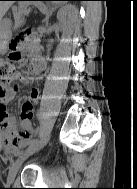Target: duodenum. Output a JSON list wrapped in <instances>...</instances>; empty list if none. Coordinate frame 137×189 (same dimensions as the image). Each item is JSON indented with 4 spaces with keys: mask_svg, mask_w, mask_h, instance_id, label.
Wrapping results in <instances>:
<instances>
[{
    "mask_svg": "<svg viewBox=\"0 0 137 189\" xmlns=\"http://www.w3.org/2000/svg\"><path fill=\"white\" fill-rule=\"evenodd\" d=\"M31 54H32V56L34 57V59H35L36 61H38V60L41 59L40 52H39V49H38V48H33V49L31 50Z\"/></svg>",
    "mask_w": 137,
    "mask_h": 189,
    "instance_id": "410a0bca",
    "label": "duodenum"
}]
</instances>
